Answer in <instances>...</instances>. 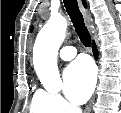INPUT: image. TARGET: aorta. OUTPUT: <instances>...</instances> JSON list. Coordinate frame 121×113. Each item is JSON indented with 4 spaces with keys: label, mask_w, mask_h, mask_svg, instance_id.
<instances>
[{
    "label": "aorta",
    "mask_w": 121,
    "mask_h": 113,
    "mask_svg": "<svg viewBox=\"0 0 121 113\" xmlns=\"http://www.w3.org/2000/svg\"><path fill=\"white\" fill-rule=\"evenodd\" d=\"M67 20L53 15L40 30L33 48V65L37 76L49 92L61 89L57 55L63 42Z\"/></svg>",
    "instance_id": "aorta-1"
}]
</instances>
